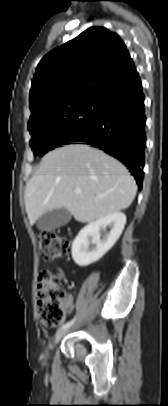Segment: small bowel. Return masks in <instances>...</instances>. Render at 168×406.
I'll use <instances>...</instances> for the list:
<instances>
[{
    "label": "small bowel",
    "instance_id": "small-bowel-1",
    "mask_svg": "<svg viewBox=\"0 0 168 406\" xmlns=\"http://www.w3.org/2000/svg\"><path fill=\"white\" fill-rule=\"evenodd\" d=\"M63 306H64V310L66 313H69L73 310L74 308V302H73V298L71 295H68L63 302Z\"/></svg>",
    "mask_w": 168,
    "mask_h": 406
}]
</instances>
